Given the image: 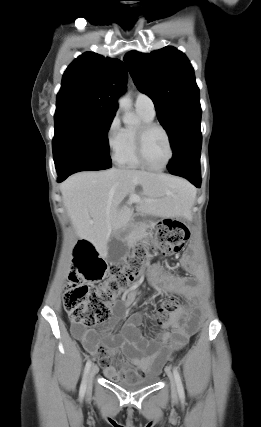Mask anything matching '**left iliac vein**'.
Here are the masks:
<instances>
[{
	"instance_id": "1",
	"label": "left iliac vein",
	"mask_w": 261,
	"mask_h": 427,
	"mask_svg": "<svg viewBox=\"0 0 261 427\" xmlns=\"http://www.w3.org/2000/svg\"><path fill=\"white\" fill-rule=\"evenodd\" d=\"M167 376L171 383V393L174 397L177 396V384L173 373L170 370H166Z\"/></svg>"
}]
</instances>
